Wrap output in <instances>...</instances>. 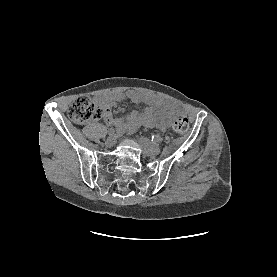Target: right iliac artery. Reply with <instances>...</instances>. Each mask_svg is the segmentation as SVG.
I'll list each match as a JSON object with an SVG mask.
<instances>
[{"label": "right iliac artery", "mask_w": 277, "mask_h": 277, "mask_svg": "<svg viewBox=\"0 0 277 277\" xmlns=\"http://www.w3.org/2000/svg\"><path fill=\"white\" fill-rule=\"evenodd\" d=\"M126 129V124L119 125L116 128H112L109 130V135L114 134V133H122Z\"/></svg>", "instance_id": "right-iliac-artery-1"}]
</instances>
